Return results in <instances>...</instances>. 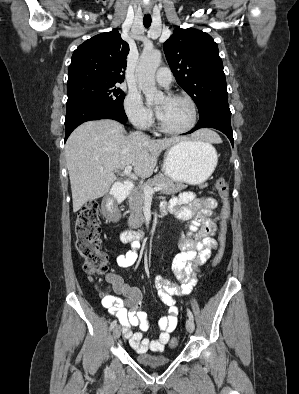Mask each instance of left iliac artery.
<instances>
[{"mask_svg":"<svg viewBox=\"0 0 299 394\" xmlns=\"http://www.w3.org/2000/svg\"><path fill=\"white\" fill-rule=\"evenodd\" d=\"M187 315L190 319H192V320L194 319L193 314L189 309L187 310Z\"/></svg>","mask_w":299,"mask_h":394,"instance_id":"1","label":"left iliac artery"}]
</instances>
